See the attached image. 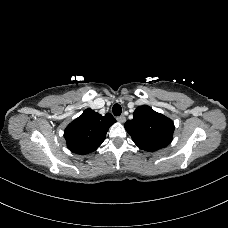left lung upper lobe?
I'll return each mask as SVG.
<instances>
[{"label":"left lung upper lobe","mask_w":228,"mask_h":228,"mask_svg":"<svg viewBox=\"0 0 228 228\" xmlns=\"http://www.w3.org/2000/svg\"><path fill=\"white\" fill-rule=\"evenodd\" d=\"M125 128L134 143L149 152L166 147L173 139V121L147 105L136 108L134 118L125 123Z\"/></svg>","instance_id":"5c2ea615"}]
</instances>
